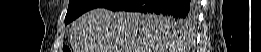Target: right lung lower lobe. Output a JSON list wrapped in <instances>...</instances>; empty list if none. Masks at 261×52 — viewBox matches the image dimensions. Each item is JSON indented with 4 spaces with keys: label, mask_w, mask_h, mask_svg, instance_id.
Here are the masks:
<instances>
[{
    "label": "right lung lower lobe",
    "mask_w": 261,
    "mask_h": 52,
    "mask_svg": "<svg viewBox=\"0 0 261 52\" xmlns=\"http://www.w3.org/2000/svg\"><path fill=\"white\" fill-rule=\"evenodd\" d=\"M102 8L188 19L195 15V4L187 0H109Z\"/></svg>",
    "instance_id": "98d812e1"
}]
</instances>
